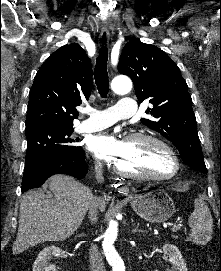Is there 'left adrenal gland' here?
I'll use <instances>...</instances> for the list:
<instances>
[{
	"mask_svg": "<svg viewBox=\"0 0 221 271\" xmlns=\"http://www.w3.org/2000/svg\"><path fill=\"white\" fill-rule=\"evenodd\" d=\"M131 221H133V219H131ZM132 225H134V227L132 229L133 233H134V231H144V229H139V223H136V225H135V223H132Z\"/></svg>",
	"mask_w": 221,
	"mask_h": 271,
	"instance_id": "left-adrenal-gland-1",
	"label": "left adrenal gland"
}]
</instances>
